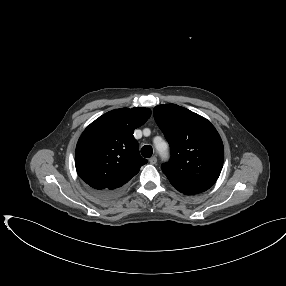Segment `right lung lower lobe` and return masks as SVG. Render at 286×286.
<instances>
[{
	"mask_svg": "<svg viewBox=\"0 0 286 286\" xmlns=\"http://www.w3.org/2000/svg\"><path fill=\"white\" fill-rule=\"evenodd\" d=\"M89 191L97 196V197H100V198H109L111 196H114L116 195L117 193H119L120 191H115V192H108V191H100V190H96V189H93V188H90L89 187Z\"/></svg>",
	"mask_w": 286,
	"mask_h": 286,
	"instance_id": "1",
	"label": "right lung lower lobe"
}]
</instances>
